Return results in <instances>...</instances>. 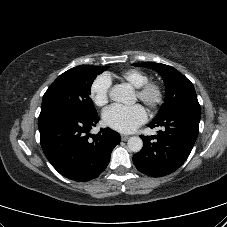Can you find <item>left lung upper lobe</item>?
Here are the masks:
<instances>
[{
	"label": "left lung upper lobe",
	"mask_w": 227,
	"mask_h": 227,
	"mask_svg": "<svg viewBox=\"0 0 227 227\" xmlns=\"http://www.w3.org/2000/svg\"><path fill=\"white\" fill-rule=\"evenodd\" d=\"M133 65L154 69L165 82V100L154 120L165 118L182 109H200L193 84L175 68L154 62Z\"/></svg>",
	"instance_id": "left-lung-upper-lobe-1"
}]
</instances>
